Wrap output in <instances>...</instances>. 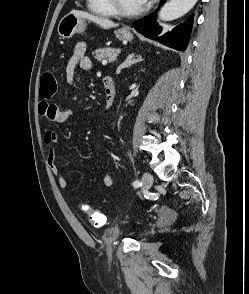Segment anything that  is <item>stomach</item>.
Segmentation results:
<instances>
[{
    "label": "stomach",
    "mask_w": 249,
    "mask_h": 294,
    "mask_svg": "<svg viewBox=\"0 0 249 294\" xmlns=\"http://www.w3.org/2000/svg\"><path fill=\"white\" fill-rule=\"evenodd\" d=\"M86 29V20L72 12L66 14L59 22L58 34L63 39H70L76 33H83ZM117 39L130 41L133 38L132 33L126 27L115 31Z\"/></svg>",
    "instance_id": "obj_1"
}]
</instances>
